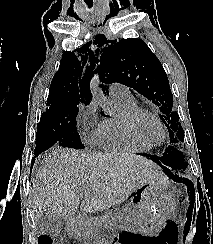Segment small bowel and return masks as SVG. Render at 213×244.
<instances>
[{
	"mask_svg": "<svg viewBox=\"0 0 213 244\" xmlns=\"http://www.w3.org/2000/svg\"><path fill=\"white\" fill-rule=\"evenodd\" d=\"M115 244H124V241L122 239H119Z\"/></svg>",
	"mask_w": 213,
	"mask_h": 244,
	"instance_id": "c3829d8e",
	"label": "small bowel"
}]
</instances>
